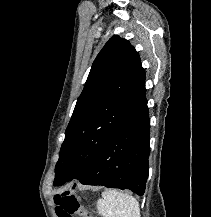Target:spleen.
I'll return each mask as SVG.
<instances>
[{"label":"spleen","mask_w":211,"mask_h":217,"mask_svg":"<svg viewBox=\"0 0 211 217\" xmlns=\"http://www.w3.org/2000/svg\"><path fill=\"white\" fill-rule=\"evenodd\" d=\"M102 197L97 202V209L103 217H141L135 197L117 190H105Z\"/></svg>","instance_id":"spleen-1"}]
</instances>
